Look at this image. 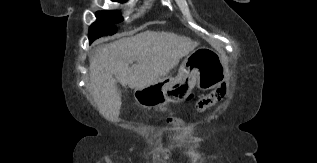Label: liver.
Returning a JSON list of instances; mask_svg holds the SVG:
<instances>
[{
	"label": "liver",
	"mask_w": 317,
	"mask_h": 163,
	"mask_svg": "<svg viewBox=\"0 0 317 163\" xmlns=\"http://www.w3.org/2000/svg\"><path fill=\"white\" fill-rule=\"evenodd\" d=\"M198 45L172 32L144 31L99 47L89 60V89L100 114L118 120L122 103L117 82L135 90L154 85Z\"/></svg>",
	"instance_id": "1"
}]
</instances>
